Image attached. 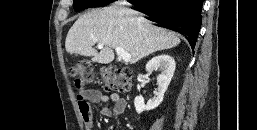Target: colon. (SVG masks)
Listing matches in <instances>:
<instances>
[{"label": "colon", "mask_w": 257, "mask_h": 130, "mask_svg": "<svg viewBox=\"0 0 257 130\" xmlns=\"http://www.w3.org/2000/svg\"><path fill=\"white\" fill-rule=\"evenodd\" d=\"M70 74L74 78L75 85L78 89L93 80L92 66L85 61L73 64L70 68ZM101 78L107 91L124 93L131 87L132 73L126 68L110 66L102 70Z\"/></svg>", "instance_id": "colon-1"}]
</instances>
